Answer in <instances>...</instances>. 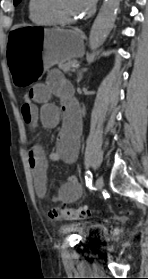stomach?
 Returning a JSON list of instances; mask_svg holds the SVG:
<instances>
[{"mask_svg": "<svg viewBox=\"0 0 148 279\" xmlns=\"http://www.w3.org/2000/svg\"><path fill=\"white\" fill-rule=\"evenodd\" d=\"M5 50L10 69L8 78H14L18 91L36 87L50 66L65 59L81 57L84 53L83 36L78 30H48L46 25H20L7 34ZM42 49V50H34Z\"/></svg>", "mask_w": 148, "mask_h": 279, "instance_id": "0dacf381", "label": "stomach"}]
</instances>
